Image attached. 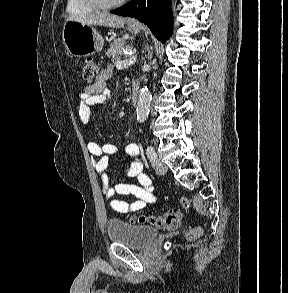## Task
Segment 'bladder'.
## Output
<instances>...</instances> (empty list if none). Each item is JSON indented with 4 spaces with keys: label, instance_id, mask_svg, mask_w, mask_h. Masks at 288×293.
<instances>
[{
    "label": "bladder",
    "instance_id": "obj_1",
    "mask_svg": "<svg viewBox=\"0 0 288 293\" xmlns=\"http://www.w3.org/2000/svg\"><path fill=\"white\" fill-rule=\"evenodd\" d=\"M107 234L110 241L133 249L147 247L158 236L157 230L151 226L116 219L108 221Z\"/></svg>",
    "mask_w": 288,
    "mask_h": 293
}]
</instances>
